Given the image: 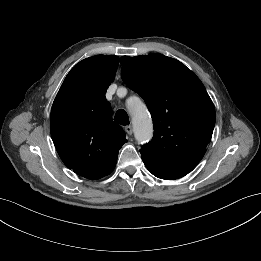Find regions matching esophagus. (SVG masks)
Segmentation results:
<instances>
[{"instance_id":"1","label":"esophagus","mask_w":261,"mask_h":261,"mask_svg":"<svg viewBox=\"0 0 261 261\" xmlns=\"http://www.w3.org/2000/svg\"><path fill=\"white\" fill-rule=\"evenodd\" d=\"M125 132L128 134V135H131L133 133V128L131 125H127L125 126Z\"/></svg>"}]
</instances>
